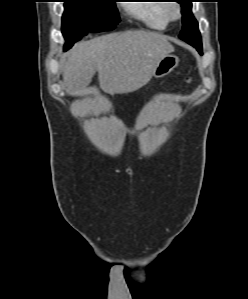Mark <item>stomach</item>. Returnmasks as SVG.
Wrapping results in <instances>:
<instances>
[{
  "mask_svg": "<svg viewBox=\"0 0 248 299\" xmlns=\"http://www.w3.org/2000/svg\"><path fill=\"white\" fill-rule=\"evenodd\" d=\"M178 62L179 58L177 56L170 54L165 55L156 66L153 76L155 78H161L168 75L178 65Z\"/></svg>",
  "mask_w": 248,
  "mask_h": 299,
  "instance_id": "obj_1",
  "label": "stomach"
}]
</instances>
